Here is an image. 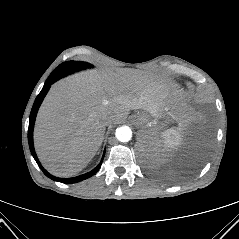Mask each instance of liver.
<instances>
[{"label": "liver", "mask_w": 239, "mask_h": 239, "mask_svg": "<svg viewBox=\"0 0 239 239\" xmlns=\"http://www.w3.org/2000/svg\"><path fill=\"white\" fill-rule=\"evenodd\" d=\"M138 109L153 117L168 112L179 125L192 119L169 83L140 70L91 71L55 83L36 119L34 143L40 161L55 176L75 175L98 151L105 119L119 124Z\"/></svg>", "instance_id": "obj_1"}]
</instances>
